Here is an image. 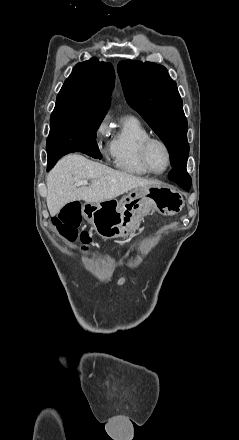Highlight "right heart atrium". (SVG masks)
<instances>
[{
  "label": "right heart atrium",
  "mask_w": 239,
  "mask_h": 440,
  "mask_svg": "<svg viewBox=\"0 0 239 440\" xmlns=\"http://www.w3.org/2000/svg\"><path fill=\"white\" fill-rule=\"evenodd\" d=\"M108 119H101L93 129L92 140L97 151L102 156H108L111 153V141L107 139Z\"/></svg>",
  "instance_id": "1"
}]
</instances>
